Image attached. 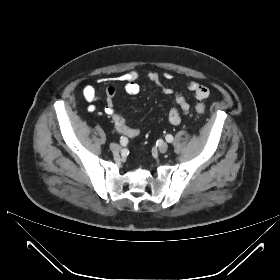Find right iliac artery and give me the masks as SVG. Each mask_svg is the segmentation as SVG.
<instances>
[{
    "label": "right iliac artery",
    "instance_id": "right-iliac-artery-1",
    "mask_svg": "<svg viewBox=\"0 0 280 280\" xmlns=\"http://www.w3.org/2000/svg\"><path fill=\"white\" fill-rule=\"evenodd\" d=\"M127 142H128V141H127V138H126V137H123V136H122V137L120 138V144H121L122 146H125V145L127 144Z\"/></svg>",
    "mask_w": 280,
    "mask_h": 280
}]
</instances>
